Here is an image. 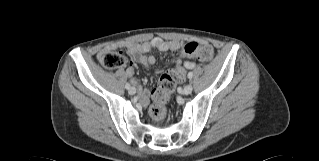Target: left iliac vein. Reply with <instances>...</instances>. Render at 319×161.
<instances>
[{
  "mask_svg": "<svg viewBox=\"0 0 319 161\" xmlns=\"http://www.w3.org/2000/svg\"><path fill=\"white\" fill-rule=\"evenodd\" d=\"M192 90H193V86H192L191 84H187V85L183 88L182 93H183V95H189V94H191Z\"/></svg>",
  "mask_w": 319,
  "mask_h": 161,
  "instance_id": "1",
  "label": "left iliac vein"
}]
</instances>
